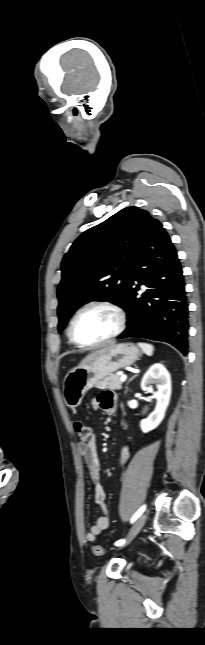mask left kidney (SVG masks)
<instances>
[{"label": "left kidney", "instance_id": "obj_1", "mask_svg": "<svg viewBox=\"0 0 205 645\" xmlns=\"http://www.w3.org/2000/svg\"><path fill=\"white\" fill-rule=\"evenodd\" d=\"M157 384V391H153V384ZM143 391L153 393L157 400L155 410L140 422L141 430L147 433L155 429L164 419L171 396V377L167 369L160 363L152 365L144 374L141 381Z\"/></svg>", "mask_w": 205, "mask_h": 645}]
</instances>
